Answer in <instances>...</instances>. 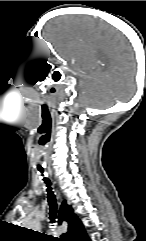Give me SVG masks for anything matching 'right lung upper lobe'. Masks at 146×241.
I'll return each instance as SVG.
<instances>
[{
	"label": "right lung upper lobe",
	"instance_id": "obj_1",
	"mask_svg": "<svg viewBox=\"0 0 146 241\" xmlns=\"http://www.w3.org/2000/svg\"><path fill=\"white\" fill-rule=\"evenodd\" d=\"M62 221L68 223V232L61 236L60 241H85L87 235L84 226L66 201H63L59 210V224Z\"/></svg>",
	"mask_w": 146,
	"mask_h": 241
}]
</instances>
